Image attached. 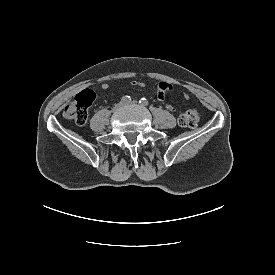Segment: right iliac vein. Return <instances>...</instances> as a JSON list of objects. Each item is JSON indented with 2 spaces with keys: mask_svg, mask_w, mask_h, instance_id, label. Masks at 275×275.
<instances>
[{
  "mask_svg": "<svg viewBox=\"0 0 275 275\" xmlns=\"http://www.w3.org/2000/svg\"><path fill=\"white\" fill-rule=\"evenodd\" d=\"M121 106H122V104H116V105H114L113 111H117Z\"/></svg>",
  "mask_w": 275,
  "mask_h": 275,
  "instance_id": "1",
  "label": "right iliac vein"
}]
</instances>
